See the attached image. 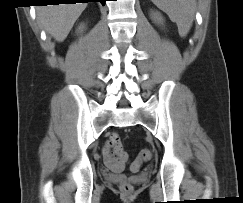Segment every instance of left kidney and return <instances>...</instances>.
<instances>
[{"mask_svg": "<svg viewBox=\"0 0 243 203\" xmlns=\"http://www.w3.org/2000/svg\"><path fill=\"white\" fill-rule=\"evenodd\" d=\"M152 20L157 24H162L164 19L159 12H155L151 15Z\"/></svg>", "mask_w": 243, "mask_h": 203, "instance_id": "obj_1", "label": "left kidney"}]
</instances>
